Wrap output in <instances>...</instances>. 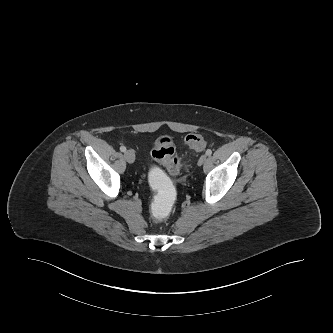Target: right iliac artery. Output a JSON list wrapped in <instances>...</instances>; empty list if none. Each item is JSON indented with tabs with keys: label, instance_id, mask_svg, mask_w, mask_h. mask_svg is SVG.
<instances>
[{
	"label": "right iliac artery",
	"instance_id": "82829eb1",
	"mask_svg": "<svg viewBox=\"0 0 333 333\" xmlns=\"http://www.w3.org/2000/svg\"><path fill=\"white\" fill-rule=\"evenodd\" d=\"M120 151H121V152H125V151H126V147H125V146H121V147H120Z\"/></svg>",
	"mask_w": 333,
	"mask_h": 333
}]
</instances>
